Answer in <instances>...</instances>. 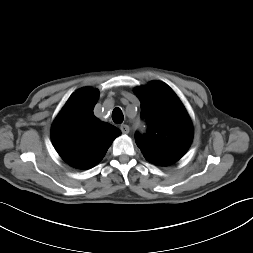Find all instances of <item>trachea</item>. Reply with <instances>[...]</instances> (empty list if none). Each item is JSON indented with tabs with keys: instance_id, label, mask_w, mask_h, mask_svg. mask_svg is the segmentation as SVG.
Masks as SVG:
<instances>
[{
	"instance_id": "3493384b",
	"label": "trachea",
	"mask_w": 253,
	"mask_h": 253,
	"mask_svg": "<svg viewBox=\"0 0 253 253\" xmlns=\"http://www.w3.org/2000/svg\"><path fill=\"white\" fill-rule=\"evenodd\" d=\"M112 119L114 123L120 124L124 120L123 113L120 108L116 107L112 112Z\"/></svg>"
}]
</instances>
